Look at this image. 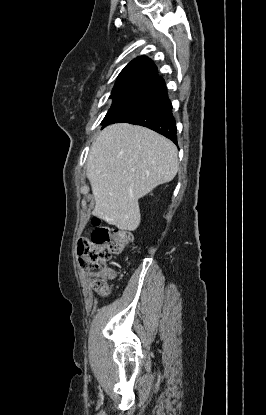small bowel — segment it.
Listing matches in <instances>:
<instances>
[{"label":"small bowel","mask_w":266,"mask_h":415,"mask_svg":"<svg viewBox=\"0 0 266 415\" xmlns=\"http://www.w3.org/2000/svg\"><path fill=\"white\" fill-rule=\"evenodd\" d=\"M109 274H110V277H112L114 275V272L112 270H109Z\"/></svg>","instance_id":"small-bowel-1"}]
</instances>
